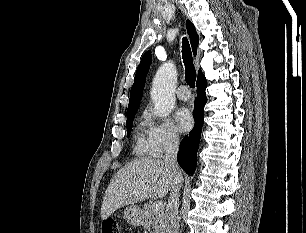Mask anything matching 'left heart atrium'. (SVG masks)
Listing matches in <instances>:
<instances>
[{
    "label": "left heart atrium",
    "instance_id": "39dd6f15",
    "mask_svg": "<svg viewBox=\"0 0 306 233\" xmlns=\"http://www.w3.org/2000/svg\"><path fill=\"white\" fill-rule=\"evenodd\" d=\"M175 120L177 127L181 132L189 131L193 125L192 115L186 108H180L177 110Z\"/></svg>",
    "mask_w": 306,
    "mask_h": 233
}]
</instances>
